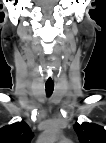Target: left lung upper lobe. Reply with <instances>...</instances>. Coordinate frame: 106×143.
Wrapping results in <instances>:
<instances>
[{
    "label": "left lung upper lobe",
    "instance_id": "1",
    "mask_svg": "<svg viewBox=\"0 0 106 143\" xmlns=\"http://www.w3.org/2000/svg\"><path fill=\"white\" fill-rule=\"evenodd\" d=\"M73 127L80 143H106V130L100 125L83 122Z\"/></svg>",
    "mask_w": 106,
    "mask_h": 143
}]
</instances>
